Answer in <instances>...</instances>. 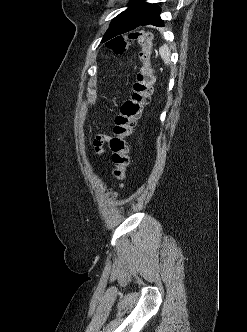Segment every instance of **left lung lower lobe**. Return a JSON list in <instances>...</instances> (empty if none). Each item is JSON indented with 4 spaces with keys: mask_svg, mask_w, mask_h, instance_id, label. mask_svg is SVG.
I'll list each match as a JSON object with an SVG mask.
<instances>
[{
    "mask_svg": "<svg viewBox=\"0 0 247 332\" xmlns=\"http://www.w3.org/2000/svg\"><path fill=\"white\" fill-rule=\"evenodd\" d=\"M161 9L155 4L145 3V5L138 10L133 18L128 20L121 27L119 34L126 33L128 31L136 30L140 26L152 24L155 26H164L159 14Z\"/></svg>",
    "mask_w": 247,
    "mask_h": 332,
    "instance_id": "0a47b994",
    "label": "left lung lower lobe"
}]
</instances>
